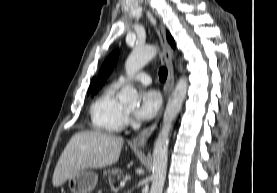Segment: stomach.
Returning <instances> with one entry per match:
<instances>
[{"mask_svg": "<svg viewBox=\"0 0 277 193\" xmlns=\"http://www.w3.org/2000/svg\"><path fill=\"white\" fill-rule=\"evenodd\" d=\"M97 174L84 170L69 178L68 187L72 193H90L97 184Z\"/></svg>", "mask_w": 277, "mask_h": 193, "instance_id": "0dacf381", "label": "stomach"}]
</instances>
